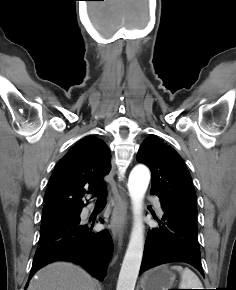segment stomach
Here are the masks:
<instances>
[{
  "label": "stomach",
  "mask_w": 236,
  "mask_h": 290,
  "mask_svg": "<svg viewBox=\"0 0 236 290\" xmlns=\"http://www.w3.org/2000/svg\"><path fill=\"white\" fill-rule=\"evenodd\" d=\"M176 275L167 265L148 271L142 278V290H168L174 284Z\"/></svg>",
  "instance_id": "stomach-1"
}]
</instances>
